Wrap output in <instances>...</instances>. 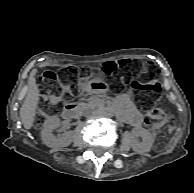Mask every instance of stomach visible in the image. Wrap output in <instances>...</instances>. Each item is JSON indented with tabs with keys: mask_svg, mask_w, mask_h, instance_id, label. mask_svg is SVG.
Listing matches in <instances>:
<instances>
[{
	"mask_svg": "<svg viewBox=\"0 0 194 193\" xmlns=\"http://www.w3.org/2000/svg\"><path fill=\"white\" fill-rule=\"evenodd\" d=\"M78 85L80 89L89 93L102 94L108 90V84L99 78L81 80Z\"/></svg>",
	"mask_w": 194,
	"mask_h": 193,
	"instance_id": "0dacf381",
	"label": "stomach"
}]
</instances>
